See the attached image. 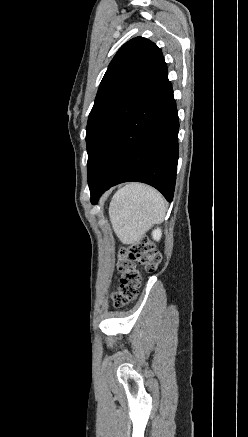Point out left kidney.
<instances>
[{
	"label": "left kidney",
	"instance_id": "5707ae66",
	"mask_svg": "<svg viewBox=\"0 0 248 437\" xmlns=\"http://www.w3.org/2000/svg\"><path fill=\"white\" fill-rule=\"evenodd\" d=\"M162 236V232L160 228L153 230L152 237L154 240L159 241Z\"/></svg>",
	"mask_w": 248,
	"mask_h": 437
}]
</instances>
